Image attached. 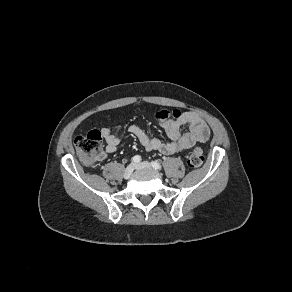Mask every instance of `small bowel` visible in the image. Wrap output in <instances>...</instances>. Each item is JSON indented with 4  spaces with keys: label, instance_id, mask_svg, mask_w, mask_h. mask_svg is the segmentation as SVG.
<instances>
[{
    "label": "small bowel",
    "instance_id": "obj_1",
    "mask_svg": "<svg viewBox=\"0 0 292 292\" xmlns=\"http://www.w3.org/2000/svg\"><path fill=\"white\" fill-rule=\"evenodd\" d=\"M175 116L157 118L159 125L169 137L168 142L150 137L136 124L129 126L132 133L147 151H158L165 155L176 154L191 149L197 143L205 142L210 137V129L206 122L195 112L178 110ZM187 127V131L183 128ZM101 134L106 142V152L114 153L120 143L119 136L110 128L101 129Z\"/></svg>",
    "mask_w": 292,
    "mask_h": 292
}]
</instances>
